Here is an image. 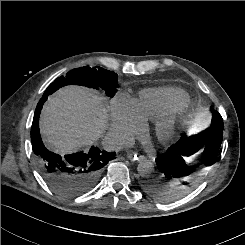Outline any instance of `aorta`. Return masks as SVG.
Wrapping results in <instances>:
<instances>
[{"label":"aorta","mask_w":245,"mask_h":245,"mask_svg":"<svg viewBox=\"0 0 245 245\" xmlns=\"http://www.w3.org/2000/svg\"><path fill=\"white\" fill-rule=\"evenodd\" d=\"M153 170H154V165L149 160H144L140 162L137 166V171L142 177L150 176Z\"/></svg>","instance_id":"obj_1"}]
</instances>
